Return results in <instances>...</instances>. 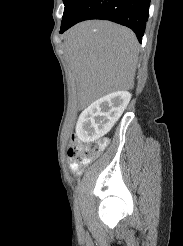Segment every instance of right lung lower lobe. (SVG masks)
Returning <instances> with one entry per match:
<instances>
[{
	"instance_id": "98d812e1",
	"label": "right lung lower lobe",
	"mask_w": 183,
	"mask_h": 246,
	"mask_svg": "<svg viewBox=\"0 0 183 246\" xmlns=\"http://www.w3.org/2000/svg\"><path fill=\"white\" fill-rule=\"evenodd\" d=\"M150 0H80L60 33L88 19H103L132 29L141 42L149 16Z\"/></svg>"
}]
</instances>
